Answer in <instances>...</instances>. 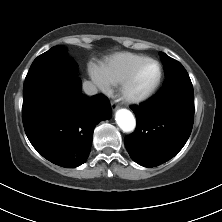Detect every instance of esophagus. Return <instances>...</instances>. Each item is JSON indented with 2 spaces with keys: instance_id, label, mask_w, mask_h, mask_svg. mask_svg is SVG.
Segmentation results:
<instances>
[{
  "instance_id": "1",
  "label": "esophagus",
  "mask_w": 222,
  "mask_h": 222,
  "mask_svg": "<svg viewBox=\"0 0 222 222\" xmlns=\"http://www.w3.org/2000/svg\"><path fill=\"white\" fill-rule=\"evenodd\" d=\"M111 107L114 111L118 109V105L113 101L111 102Z\"/></svg>"
}]
</instances>
